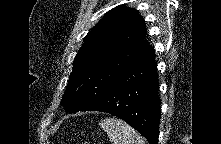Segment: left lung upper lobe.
Segmentation results:
<instances>
[{
  "label": "left lung upper lobe",
  "mask_w": 221,
  "mask_h": 144,
  "mask_svg": "<svg viewBox=\"0 0 221 144\" xmlns=\"http://www.w3.org/2000/svg\"><path fill=\"white\" fill-rule=\"evenodd\" d=\"M144 19L124 5L112 9L86 35L73 62L61 105L86 111L146 48Z\"/></svg>",
  "instance_id": "obj_1"
}]
</instances>
